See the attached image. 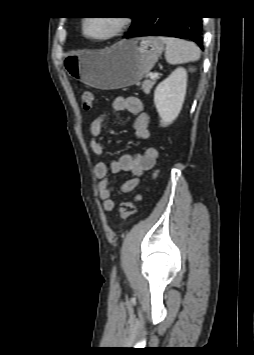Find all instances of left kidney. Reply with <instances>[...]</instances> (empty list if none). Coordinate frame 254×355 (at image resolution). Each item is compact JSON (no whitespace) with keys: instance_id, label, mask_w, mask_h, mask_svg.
Segmentation results:
<instances>
[{"instance_id":"5707ae66","label":"left kidney","mask_w":254,"mask_h":355,"mask_svg":"<svg viewBox=\"0 0 254 355\" xmlns=\"http://www.w3.org/2000/svg\"><path fill=\"white\" fill-rule=\"evenodd\" d=\"M187 87V71L179 67L158 84L154 103L161 118V126L170 125L179 115Z\"/></svg>"}]
</instances>
